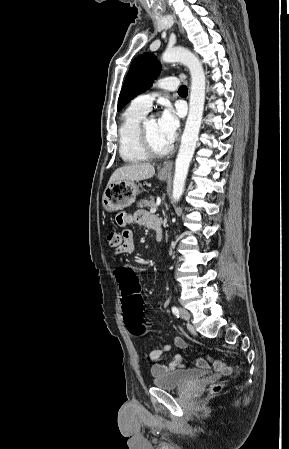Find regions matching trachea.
Instances as JSON below:
<instances>
[{
    "mask_svg": "<svg viewBox=\"0 0 289 449\" xmlns=\"http://www.w3.org/2000/svg\"><path fill=\"white\" fill-rule=\"evenodd\" d=\"M178 92L179 93H187L188 89H187V87L185 85H182V86L179 87Z\"/></svg>",
    "mask_w": 289,
    "mask_h": 449,
    "instance_id": "1",
    "label": "trachea"
}]
</instances>
